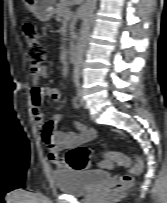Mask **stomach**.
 <instances>
[{"mask_svg":"<svg viewBox=\"0 0 167 203\" xmlns=\"http://www.w3.org/2000/svg\"><path fill=\"white\" fill-rule=\"evenodd\" d=\"M25 7L40 21H49L54 14L56 0H23Z\"/></svg>","mask_w":167,"mask_h":203,"instance_id":"0dacf381","label":"stomach"}]
</instances>
